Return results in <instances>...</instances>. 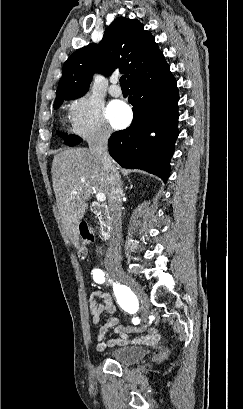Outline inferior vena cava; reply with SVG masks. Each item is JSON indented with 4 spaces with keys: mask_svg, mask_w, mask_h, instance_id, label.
<instances>
[{
    "mask_svg": "<svg viewBox=\"0 0 243 409\" xmlns=\"http://www.w3.org/2000/svg\"><path fill=\"white\" fill-rule=\"evenodd\" d=\"M108 129H102L89 140V150L97 157L102 168L106 172V180L109 187L108 208L110 212L111 236L107 253V265L109 268H121V206H122V184L120 175L108 153Z\"/></svg>",
    "mask_w": 243,
    "mask_h": 409,
    "instance_id": "1",
    "label": "inferior vena cava"
}]
</instances>
